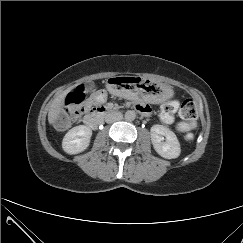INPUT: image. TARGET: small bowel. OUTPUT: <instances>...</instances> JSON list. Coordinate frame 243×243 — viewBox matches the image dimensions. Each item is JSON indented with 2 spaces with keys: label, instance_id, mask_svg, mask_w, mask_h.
Wrapping results in <instances>:
<instances>
[{
  "label": "small bowel",
  "instance_id": "obj_1",
  "mask_svg": "<svg viewBox=\"0 0 243 243\" xmlns=\"http://www.w3.org/2000/svg\"><path fill=\"white\" fill-rule=\"evenodd\" d=\"M106 98H107V94L105 91L103 90L97 91L91 95L89 100L86 102L85 106L90 107V106L101 105L106 101ZM136 109L145 116H148L151 112L150 107L142 103L136 104Z\"/></svg>",
  "mask_w": 243,
  "mask_h": 243
}]
</instances>
